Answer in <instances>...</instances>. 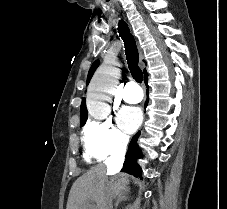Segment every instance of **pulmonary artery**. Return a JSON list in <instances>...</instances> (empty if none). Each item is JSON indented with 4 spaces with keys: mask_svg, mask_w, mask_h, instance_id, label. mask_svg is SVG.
<instances>
[{
    "mask_svg": "<svg viewBox=\"0 0 227 209\" xmlns=\"http://www.w3.org/2000/svg\"><path fill=\"white\" fill-rule=\"evenodd\" d=\"M122 98L127 103H139L142 100L141 88H135V82H125Z\"/></svg>",
    "mask_w": 227,
    "mask_h": 209,
    "instance_id": "obj_1",
    "label": "pulmonary artery"
}]
</instances>
